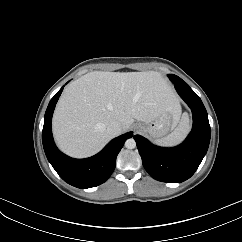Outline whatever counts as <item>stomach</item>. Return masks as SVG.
<instances>
[{
  "mask_svg": "<svg viewBox=\"0 0 242 242\" xmlns=\"http://www.w3.org/2000/svg\"><path fill=\"white\" fill-rule=\"evenodd\" d=\"M178 118L170 113H164L147 126L143 130L147 132L153 139H158L166 135L177 124Z\"/></svg>",
  "mask_w": 242,
  "mask_h": 242,
  "instance_id": "0dacf381",
  "label": "stomach"
}]
</instances>
